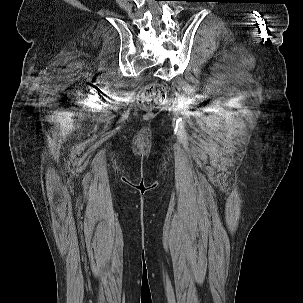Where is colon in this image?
Here are the masks:
<instances>
[{"mask_svg":"<svg viewBox=\"0 0 303 303\" xmlns=\"http://www.w3.org/2000/svg\"><path fill=\"white\" fill-rule=\"evenodd\" d=\"M166 88L162 84H149L140 90L139 102L146 108H157L166 101Z\"/></svg>","mask_w":303,"mask_h":303,"instance_id":"1","label":"colon"}]
</instances>
